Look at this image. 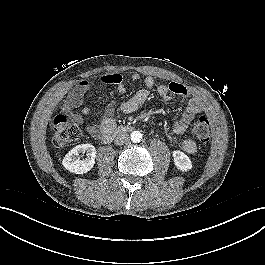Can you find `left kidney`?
<instances>
[{"mask_svg": "<svg viewBox=\"0 0 265 265\" xmlns=\"http://www.w3.org/2000/svg\"><path fill=\"white\" fill-rule=\"evenodd\" d=\"M174 164L180 171H188L192 168V162L190 158L182 151H173Z\"/></svg>", "mask_w": 265, "mask_h": 265, "instance_id": "left-kidney-1", "label": "left kidney"}]
</instances>
